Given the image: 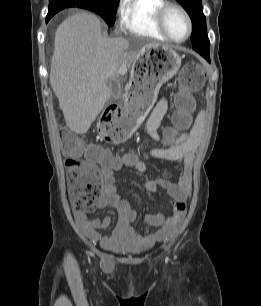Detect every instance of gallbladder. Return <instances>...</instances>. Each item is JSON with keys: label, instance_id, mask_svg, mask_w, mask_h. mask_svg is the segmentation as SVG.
<instances>
[{"label": "gallbladder", "instance_id": "1", "mask_svg": "<svg viewBox=\"0 0 261 306\" xmlns=\"http://www.w3.org/2000/svg\"><path fill=\"white\" fill-rule=\"evenodd\" d=\"M107 85L111 92V99L109 100V102H112L113 100L118 99L121 94L120 85L115 80H112V79L107 81Z\"/></svg>", "mask_w": 261, "mask_h": 306}]
</instances>
